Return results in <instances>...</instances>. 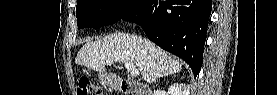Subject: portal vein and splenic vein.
Segmentation results:
<instances>
[{
  "instance_id": "obj_1",
  "label": "portal vein and splenic vein",
  "mask_w": 277,
  "mask_h": 95,
  "mask_svg": "<svg viewBox=\"0 0 277 95\" xmlns=\"http://www.w3.org/2000/svg\"><path fill=\"white\" fill-rule=\"evenodd\" d=\"M112 63H113V60H107L106 61L107 65H111ZM124 65L128 69V71L130 72V75L132 77H136V76H138L140 74L139 70L135 66L130 64L129 62H125Z\"/></svg>"
}]
</instances>
